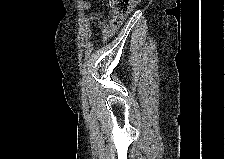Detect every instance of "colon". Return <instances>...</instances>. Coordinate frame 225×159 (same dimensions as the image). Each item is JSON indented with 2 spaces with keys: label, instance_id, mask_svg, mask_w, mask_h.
Listing matches in <instances>:
<instances>
[{
  "label": "colon",
  "instance_id": "5ec220e1",
  "mask_svg": "<svg viewBox=\"0 0 225 159\" xmlns=\"http://www.w3.org/2000/svg\"><path fill=\"white\" fill-rule=\"evenodd\" d=\"M135 2L136 0H111L108 16L111 29L120 25L122 18L132 10Z\"/></svg>",
  "mask_w": 225,
  "mask_h": 159
}]
</instances>
